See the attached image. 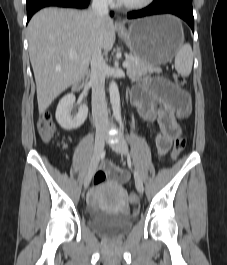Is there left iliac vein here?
Instances as JSON below:
<instances>
[{"label":"left iliac vein","mask_w":227,"mask_h":265,"mask_svg":"<svg viewBox=\"0 0 227 265\" xmlns=\"http://www.w3.org/2000/svg\"><path fill=\"white\" fill-rule=\"evenodd\" d=\"M117 138H118V141L115 144L111 145L113 150H115L117 153L121 155L128 156L129 152H128V147H127L125 140L120 135H118ZM133 173H134L136 189L140 194H142L144 191V186H143V181L141 179V176L137 170H134Z\"/></svg>","instance_id":"left-iliac-vein-1"}]
</instances>
